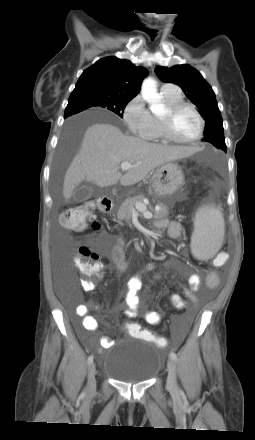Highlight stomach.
<instances>
[{
	"label": "stomach",
	"instance_id": "obj_1",
	"mask_svg": "<svg viewBox=\"0 0 255 440\" xmlns=\"http://www.w3.org/2000/svg\"><path fill=\"white\" fill-rule=\"evenodd\" d=\"M184 184V175L180 166L165 163L158 167L151 178V185L160 197L170 196Z\"/></svg>",
	"mask_w": 255,
	"mask_h": 440
}]
</instances>
